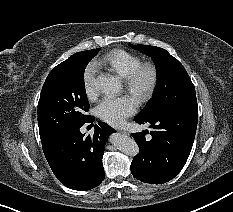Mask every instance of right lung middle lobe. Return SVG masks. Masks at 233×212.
Returning a JSON list of instances; mask_svg holds the SVG:
<instances>
[{
    "mask_svg": "<svg viewBox=\"0 0 233 212\" xmlns=\"http://www.w3.org/2000/svg\"><path fill=\"white\" fill-rule=\"evenodd\" d=\"M98 50L75 53L49 73L38 103V125L42 142L90 118L86 114L89 103L83 74Z\"/></svg>",
    "mask_w": 233,
    "mask_h": 212,
    "instance_id": "dd1d6c3e",
    "label": "right lung middle lobe"
}]
</instances>
